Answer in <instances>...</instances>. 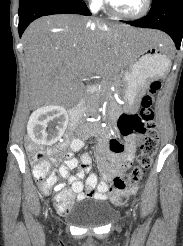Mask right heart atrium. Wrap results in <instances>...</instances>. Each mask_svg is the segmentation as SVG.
<instances>
[{"label":"right heart atrium","instance_id":"d8ad5b80","mask_svg":"<svg viewBox=\"0 0 183 246\" xmlns=\"http://www.w3.org/2000/svg\"><path fill=\"white\" fill-rule=\"evenodd\" d=\"M93 9L98 8L101 5L102 0H88Z\"/></svg>","mask_w":183,"mask_h":246}]
</instances>
